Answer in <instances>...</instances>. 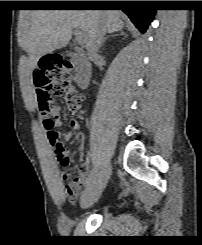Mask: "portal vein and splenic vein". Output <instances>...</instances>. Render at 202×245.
I'll use <instances>...</instances> for the list:
<instances>
[{
  "label": "portal vein and splenic vein",
  "instance_id": "1",
  "mask_svg": "<svg viewBox=\"0 0 202 245\" xmlns=\"http://www.w3.org/2000/svg\"><path fill=\"white\" fill-rule=\"evenodd\" d=\"M75 35H76V40L79 44H83L85 41V33L83 31L80 30H76L75 31Z\"/></svg>",
  "mask_w": 202,
  "mask_h": 245
}]
</instances>
